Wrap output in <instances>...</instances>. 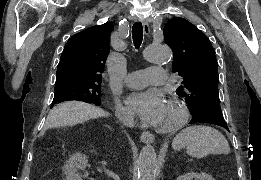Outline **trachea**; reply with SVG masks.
<instances>
[{"instance_id":"1","label":"trachea","mask_w":261,"mask_h":180,"mask_svg":"<svg viewBox=\"0 0 261 180\" xmlns=\"http://www.w3.org/2000/svg\"><path fill=\"white\" fill-rule=\"evenodd\" d=\"M132 38L135 47H140L143 39V26L141 22H135L132 27Z\"/></svg>"}]
</instances>
